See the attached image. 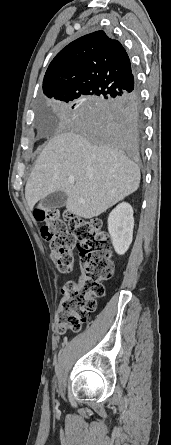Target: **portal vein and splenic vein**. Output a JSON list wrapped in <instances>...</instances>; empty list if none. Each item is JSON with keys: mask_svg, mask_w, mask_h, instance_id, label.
<instances>
[{"mask_svg": "<svg viewBox=\"0 0 171 445\" xmlns=\"http://www.w3.org/2000/svg\"><path fill=\"white\" fill-rule=\"evenodd\" d=\"M68 181H69L70 183H74V178H73V177H69V178H68Z\"/></svg>", "mask_w": 171, "mask_h": 445, "instance_id": "18ae733b", "label": "portal vein and splenic vein"}]
</instances>
